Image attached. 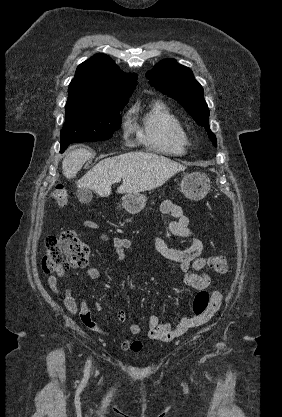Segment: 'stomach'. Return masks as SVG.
Listing matches in <instances>:
<instances>
[{
    "mask_svg": "<svg viewBox=\"0 0 282 417\" xmlns=\"http://www.w3.org/2000/svg\"><path fill=\"white\" fill-rule=\"evenodd\" d=\"M181 192L191 198V200H201L206 194H208L211 188L210 178H208L205 172H189L184 174L180 182ZM122 206L130 215H136L143 211L146 204L147 196L145 194H134V192H128L121 198Z\"/></svg>",
    "mask_w": 282,
    "mask_h": 417,
    "instance_id": "stomach-1",
    "label": "stomach"
}]
</instances>
